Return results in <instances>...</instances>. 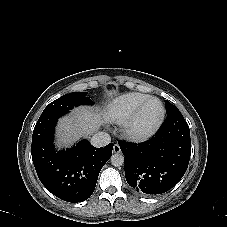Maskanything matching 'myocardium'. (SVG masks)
<instances>
[{
    "label": "myocardium",
    "instance_id": "myocardium-1",
    "mask_svg": "<svg viewBox=\"0 0 227 227\" xmlns=\"http://www.w3.org/2000/svg\"><path fill=\"white\" fill-rule=\"evenodd\" d=\"M151 102H157L161 106V114L159 118L153 122L151 125L147 127L141 126V117L144 113L146 107ZM165 119V106L164 104L157 98H149L146 102H144L141 107L123 124V134L124 136L135 142L145 141L152 137L156 131L160 128L163 121Z\"/></svg>",
    "mask_w": 227,
    "mask_h": 227
}]
</instances>
